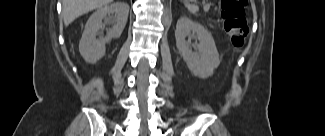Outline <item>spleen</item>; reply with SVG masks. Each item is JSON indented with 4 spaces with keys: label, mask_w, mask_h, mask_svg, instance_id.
<instances>
[{
    "label": "spleen",
    "mask_w": 325,
    "mask_h": 136,
    "mask_svg": "<svg viewBox=\"0 0 325 136\" xmlns=\"http://www.w3.org/2000/svg\"><path fill=\"white\" fill-rule=\"evenodd\" d=\"M184 5L191 13H196L199 10L197 5L190 4L188 1H184Z\"/></svg>",
    "instance_id": "obj_1"
}]
</instances>
